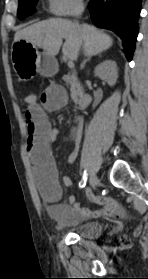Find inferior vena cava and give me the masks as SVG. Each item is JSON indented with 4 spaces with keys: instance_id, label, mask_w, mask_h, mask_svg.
<instances>
[{
    "instance_id": "1",
    "label": "inferior vena cava",
    "mask_w": 148,
    "mask_h": 279,
    "mask_svg": "<svg viewBox=\"0 0 148 279\" xmlns=\"http://www.w3.org/2000/svg\"><path fill=\"white\" fill-rule=\"evenodd\" d=\"M83 10H84V7H83V6H80V7L78 8L77 12H76V16L79 17V16L82 14ZM75 27L78 29V28H79V24H78V23H75Z\"/></svg>"
}]
</instances>
